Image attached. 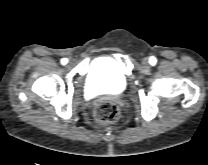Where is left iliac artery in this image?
<instances>
[{
	"instance_id": "1",
	"label": "left iliac artery",
	"mask_w": 208,
	"mask_h": 165,
	"mask_svg": "<svg viewBox=\"0 0 208 165\" xmlns=\"http://www.w3.org/2000/svg\"><path fill=\"white\" fill-rule=\"evenodd\" d=\"M150 63L151 64H155L156 63V58L155 57H151L150 58Z\"/></svg>"
}]
</instances>
